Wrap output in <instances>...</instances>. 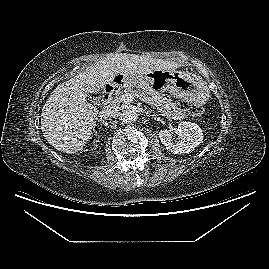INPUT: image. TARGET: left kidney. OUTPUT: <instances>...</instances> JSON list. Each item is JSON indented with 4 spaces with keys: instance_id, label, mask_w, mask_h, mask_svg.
Wrapping results in <instances>:
<instances>
[{
    "instance_id": "left-kidney-1",
    "label": "left kidney",
    "mask_w": 269,
    "mask_h": 269,
    "mask_svg": "<svg viewBox=\"0 0 269 269\" xmlns=\"http://www.w3.org/2000/svg\"><path fill=\"white\" fill-rule=\"evenodd\" d=\"M175 132L178 135V141L175 143L171 139L172 130L164 129L158 134L161 143L171 153H189L203 142L202 129L195 123L181 122Z\"/></svg>"
}]
</instances>
